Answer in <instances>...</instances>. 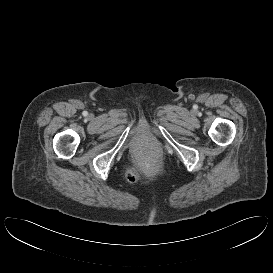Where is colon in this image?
<instances>
[{
	"instance_id": "5ec220e1",
	"label": "colon",
	"mask_w": 273,
	"mask_h": 273,
	"mask_svg": "<svg viewBox=\"0 0 273 273\" xmlns=\"http://www.w3.org/2000/svg\"><path fill=\"white\" fill-rule=\"evenodd\" d=\"M127 178H128V180H130V181H134V180H135V176H134L132 173H128V174H127Z\"/></svg>"
}]
</instances>
